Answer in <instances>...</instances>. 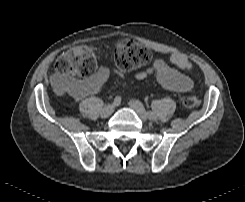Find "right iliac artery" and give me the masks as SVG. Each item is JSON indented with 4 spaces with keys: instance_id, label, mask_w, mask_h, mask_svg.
I'll list each match as a JSON object with an SVG mask.
<instances>
[{
    "instance_id": "1",
    "label": "right iliac artery",
    "mask_w": 245,
    "mask_h": 202,
    "mask_svg": "<svg viewBox=\"0 0 245 202\" xmlns=\"http://www.w3.org/2000/svg\"><path fill=\"white\" fill-rule=\"evenodd\" d=\"M121 102V97L120 96H116L115 99H114V105L115 106H118Z\"/></svg>"
}]
</instances>
